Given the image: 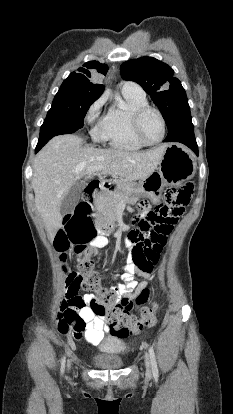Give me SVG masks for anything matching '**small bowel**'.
<instances>
[{"label":"small bowel","mask_w":233,"mask_h":414,"mask_svg":"<svg viewBox=\"0 0 233 414\" xmlns=\"http://www.w3.org/2000/svg\"><path fill=\"white\" fill-rule=\"evenodd\" d=\"M184 208L185 206L175 211V221L173 224L176 223L178 217L183 213ZM107 243V237L99 234L92 241V246L94 248H103ZM125 251H131L130 244L127 243ZM74 252L77 255L81 254V250L78 248H75ZM151 272L138 268L129 254L123 267V272L119 276V284L113 283L110 289L113 292H117L120 297L133 299L136 294H139L147 287L148 279L151 278ZM135 274L144 277L146 280L137 283L134 280ZM67 275V284H63V289L67 293L60 302L61 312L56 318L58 328L63 334L69 333L74 339L84 337L88 343L95 345L101 341L105 333L110 331L104 321V315H107V310L103 309V303H98L97 305V300L91 298L93 295L91 291H86L84 297L77 294L83 286L85 278L83 272L78 269H70ZM117 277L116 275L115 278Z\"/></svg>","instance_id":"small-bowel-1"}]
</instances>
